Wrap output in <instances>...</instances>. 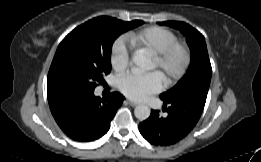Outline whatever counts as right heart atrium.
Here are the masks:
<instances>
[{
  "label": "right heart atrium",
  "instance_id": "right-heart-atrium-1",
  "mask_svg": "<svg viewBox=\"0 0 261 162\" xmlns=\"http://www.w3.org/2000/svg\"><path fill=\"white\" fill-rule=\"evenodd\" d=\"M110 62L112 68L121 73L130 65V56L127 45L123 39L118 40L111 49Z\"/></svg>",
  "mask_w": 261,
  "mask_h": 162
}]
</instances>
